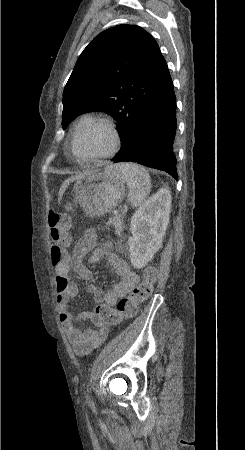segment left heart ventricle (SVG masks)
I'll list each match as a JSON object with an SVG mask.
<instances>
[{"label": "left heart ventricle", "mask_w": 245, "mask_h": 450, "mask_svg": "<svg viewBox=\"0 0 245 450\" xmlns=\"http://www.w3.org/2000/svg\"><path fill=\"white\" fill-rule=\"evenodd\" d=\"M111 145V133L106 127L99 125L87 127L81 132L76 143V149L81 155L93 156L106 153Z\"/></svg>", "instance_id": "1"}]
</instances>
